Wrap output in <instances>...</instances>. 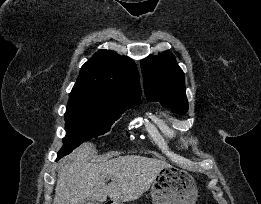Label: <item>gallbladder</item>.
I'll return each instance as SVG.
<instances>
[{"label": "gallbladder", "instance_id": "1", "mask_svg": "<svg viewBox=\"0 0 261 204\" xmlns=\"http://www.w3.org/2000/svg\"><path fill=\"white\" fill-rule=\"evenodd\" d=\"M81 204H99V203L96 200L87 199V200H84Z\"/></svg>", "mask_w": 261, "mask_h": 204}]
</instances>
